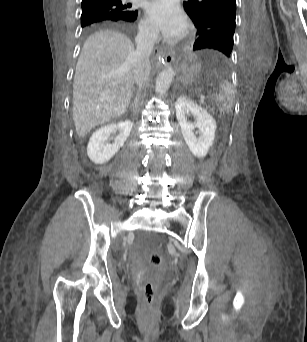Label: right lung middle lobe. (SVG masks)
<instances>
[{
	"instance_id": "dd1d6c3e",
	"label": "right lung middle lobe",
	"mask_w": 307,
	"mask_h": 342,
	"mask_svg": "<svg viewBox=\"0 0 307 342\" xmlns=\"http://www.w3.org/2000/svg\"><path fill=\"white\" fill-rule=\"evenodd\" d=\"M117 15V12L110 9H87L82 10L81 15V26H86L88 24L113 18Z\"/></svg>"
}]
</instances>
